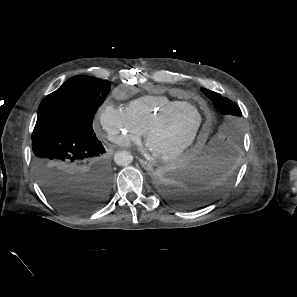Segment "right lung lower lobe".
<instances>
[{
	"mask_svg": "<svg viewBox=\"0 0 297 297\" xmlns=\"http://www.w3.org/2000/svg\"><path fill=\"white\" fill-rule=\"evenodd\" d=\"M33 164L47 198L69 214H85L107 201L113 174L96 138L77 128L32 135Z\"/></svg>",
	"mask_w": 297,
	"mask_h": 297,
	"instance_id": "1",
	"label": "right lung lower lobe"
}]
</instances>
